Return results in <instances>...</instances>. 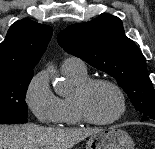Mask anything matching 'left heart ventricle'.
Wrapping results in <instances>:
<instances>
[{"instance_id": "left-heart-ventricle-1", "label": "left heart ventricle", "mask_w": 155, "mask_h": 149, "mask_svg": "<svg viewBox=\"0 0 155 149\" xmlns=\"http://www.w3.org/2000/svg\"><path fill=\"white\" fill-rule=\"evenodd\" d=\"M90 113L99 120H109L120 110V99L116 91L107 85L95 86L87 96Z\"/></svg>"}]
</instances>
